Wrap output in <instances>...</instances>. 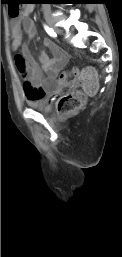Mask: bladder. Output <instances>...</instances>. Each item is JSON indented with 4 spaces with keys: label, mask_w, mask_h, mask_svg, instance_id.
I'll use <instances>...</instances> for the list:
<instances>
[{
    "label": "bladder",
    "mask_w": 122,
    "mask_h": 257,
    "mask_svg": "<svg viewBox=\"0 0 122 257\" xmlns=\"http://www.w3.org/2000/svg\"><path fill=\"white\" fill-rule=\"evenodd\" d=\"M29 106L40 112H48L50 110V102L48 98L27 101Z\"/></svg>",
    "instance_id": "31cf9c89"
}]
</instances>
